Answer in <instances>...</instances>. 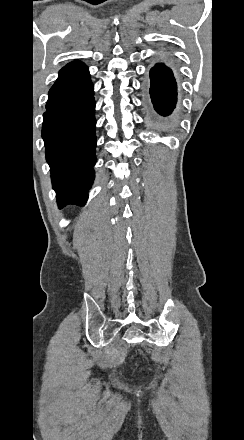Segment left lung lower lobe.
<instances>
[{
    "instance_id": "1",
    "label": "left lung lower lobe",
    "mask_w": 244,
    "mask_h": 440,
    "mask_svg": "<svg viewBox=\"0 0 244 440\" xmlns=\"http://www.w3.org/2000/svg\"><path fill=\"white\" fill-rule=\"evenodd\" d=\"M143 107L149 126L156 132L168 135L177 128L173 110L177 102V84L172 70L164 63H157L150 70V87L143 84Z\"/></svg>"
}]
</instances>
